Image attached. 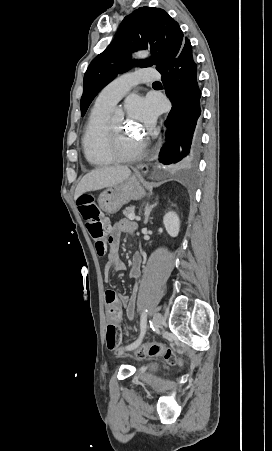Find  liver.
<instances>
[{
	"mask_svg": "<svg viewBox=\"0 0 272 451\" xmlns=\"http://www.w3.org/2000/svg\"><path fill=\"white\" fill-rule=\"evenodd\" d=\"M131 176V170L127 166H109V168H96L86 174L79 182L75 190V200L91 190L110 188L113 184H119Z\"/></svg>",
	"mask_w": 272,
	"mask_h": 451,
	"instance_id": "6515ba94",
	"label": "liver"
}]
</instances>
